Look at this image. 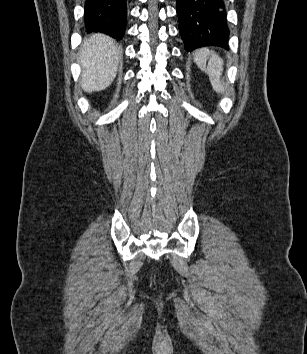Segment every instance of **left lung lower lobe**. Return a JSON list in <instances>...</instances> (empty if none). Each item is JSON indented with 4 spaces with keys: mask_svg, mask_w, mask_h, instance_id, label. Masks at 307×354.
<instances>
[{
    "mask_svg": "<svg viewBox=\"0 0 307 354\" xmlns=\"http://www.w3.org/2000/svg\"><path fill=\"white\" fill-rule=\"evenodd\" d=\"M179 31L186 51L203 46L227 47L224 0H176Z\"/></svg>",
    "mask_w": 307,
    "mask_h": 354,
    "instance_id": "0a47b994",
    "label": "left lung lower lobe"
}]
</instances>
